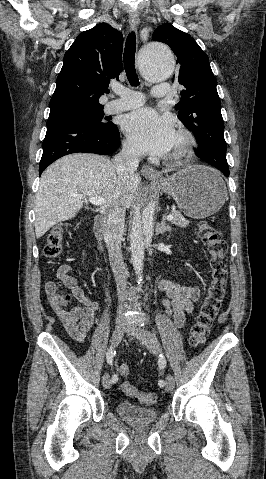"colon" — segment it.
<instances>
[{
    "label": "colon",
    "mask_w": 266,
    "mask_h": 479,
    "mask_svg": "<svg viewBox=\"0 0 266 479\" xmlns=\"http://www.w3.org/2000/svg\"><path fill=\"white\" fill-rule=\"evenodd\" d=\"M197 235L205 245L209 255L211 278L206 294L201 301L193 324L190 330L189 342L193 347L204 344L210 327L220 305L224 299L227 285V244L218 231L207 221L202 220L197 224ZM63 229L60 226L54 227L49 235L45 246V254L51 260H56L62 253ZM66 270L62 266L60 271ZM119 374L122 377L129 375V368L121 366ZM121 389L127 395L134 397L144 405H152L156 402L157 396L153 392L138 391L131 383L125 381Z\"/></svg>",
    "instance_id": "colon-1"
}]
</instances>
